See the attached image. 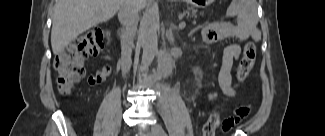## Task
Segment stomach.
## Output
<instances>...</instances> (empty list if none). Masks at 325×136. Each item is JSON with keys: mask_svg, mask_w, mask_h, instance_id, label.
<instances>
[{"mask_svg": "<svg viewBox=\"0 0 325 136\" xmlns=\"http://www.w3.org/2000/svg\"><path fill=\"white\" fill-rule=\"evenodd\" d=\"M212 2L213 0H188V3H190L193 7L197 8H204Z\"/></svg>", "mask_w": 325, "mask_h": 136, "instance_id": "1", "label": "stomach"}]
</instances>
